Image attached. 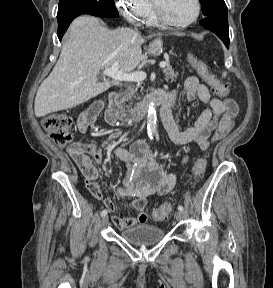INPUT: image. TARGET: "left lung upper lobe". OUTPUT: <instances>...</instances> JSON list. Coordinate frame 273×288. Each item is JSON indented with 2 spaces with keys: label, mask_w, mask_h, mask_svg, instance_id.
I'll use <instances>...</instances> for the list:
<instances>
[{
  "label": "left lung upper lobe",
  "mask_w": 273,
  "mask_h": 288,
  "mask_svg": "<svg viewBox=\"0 0 273 288\" xmlns=\"http://www.w3.org/2000/svg\"><path fill=\"white\" fill-rule=\"evenodd\" d=\"M205 18L227 16V6L224 0H200Z\"/></svg>",
  "instance_id": "obj_1"
}]
</instances>
